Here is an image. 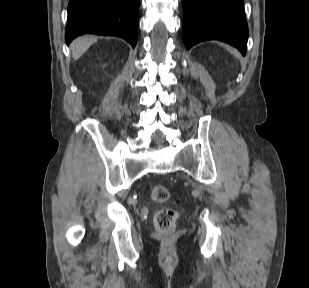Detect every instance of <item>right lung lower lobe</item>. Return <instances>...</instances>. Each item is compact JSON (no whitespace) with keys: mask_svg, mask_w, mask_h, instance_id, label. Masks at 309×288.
<instances>
[{"mask_svg":"<svg viewBox=\"0 0 309 288\" xmlns=\"http://www.w3.org/2000/svg\"><path fill=\"white\" fill-rule=\"evenodd\" d=\"M139 0H70L65 41L92 33L119 36L134 48L138 33Z\"/></svg>","mask_w":309,"mask_h":288,"instance_id":"right-lung-lower-lobe-1","label":"right lung lower lobe"}]
</instances>
